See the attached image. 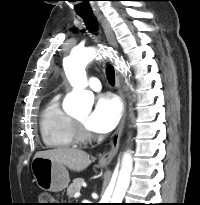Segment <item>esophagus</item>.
Wrapping results in <instances>:
<instances>
[{"mask_svg":"<svg viewBox=\"0 0 200 205\" xmlns=\"http://www.w3.org/2000/svg\"><path fill=\"white\" fill-rule=\"evenodd\" d=\"M95 16L97 18V20L100 22L107 42L108 44L112 47V49L117 50L118 49V44L115 38V35L113 33V30L109 24V22L106 20V18L100 14V13H95ZM115 83H116V87H117V92L121 98V101L123 103V113H122V119L120 121V124L117 128V130L115 131L111 141H110V149L109 151L103 153L100 157H99V163L106 165L109 164L113 157L117 154L118 149H119V144H120V138L124 129V125H125V121H126V117H127V101H126V97H125V92H124V88L122 87V82H121V75L118 72V70H115Z\"/></svg>","mask_w":200,"mask_h":205,"instance_id":"1","label":"esophagus"}]
</instances>
